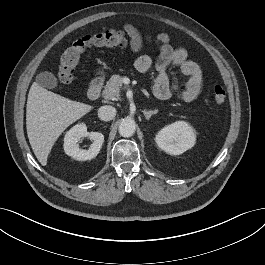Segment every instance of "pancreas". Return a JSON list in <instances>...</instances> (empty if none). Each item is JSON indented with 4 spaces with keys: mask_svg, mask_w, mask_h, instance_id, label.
Masks as SVG:
<instances>
[{
    "mask_svg": "<svg viewBox=\"0 0 265 265\" xmlns=\"http://www.w3.org/2000/svg\"><path fill=\"white\" fill-rule=\"evenodd\" d=\"M123 85V77L120 75H113L107 82L102 96L108 100H119L121 95V88Z\"/></svg>",
    "mask_w": 265,
    "mask_h": 265,
    "instance_id": "pancreas-1",
    "label": "pancreas"
}]
</instances>
